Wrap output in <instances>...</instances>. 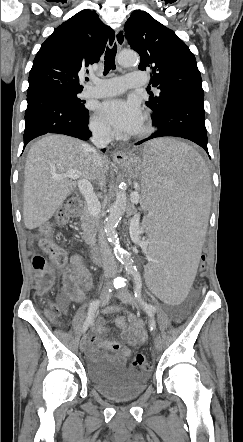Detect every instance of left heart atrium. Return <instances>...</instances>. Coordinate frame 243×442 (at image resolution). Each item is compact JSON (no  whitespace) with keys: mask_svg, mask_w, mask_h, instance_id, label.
I'll list each match as a JSON object with an SVG mask.
<instances>
[{"mask_svg":"<svg viewBox=\"0 0 243 442\" xmlns=\"http://www.w3.org/2000/svg\"><path fill=\"white\" fill-rule=\"evenodd\" d=\"M100 113L110 126L126 134H134L143 121L141 106L134 99L106 100L100 105Z\"/></svg>","mask_w":243,"mask_h":442,"instance_id":"1","label":"left heart atrium"}]
</instances>
